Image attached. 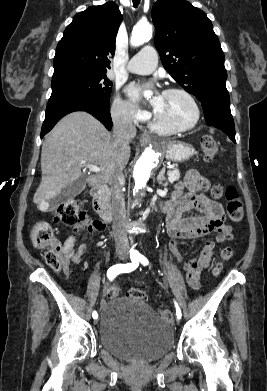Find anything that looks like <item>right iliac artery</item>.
Segmentation results:
<instances>
[{
	"label": "right iliac artery",
	"instance_id": "82829eb1",
	"mask_svg": "<svg viewBox=\"0 0 267 391\" xmlns=\"http://www.w3.org/2000/svg\"><path fill=\"white\" fill-rule=\"evenodd\" d=\"M132 263L128 264H116L112 267H110L107 271V277L109 280H113L118 274L120 273H127L135 270L138 266V258L137 257H131ZM93 318L96 319L98 317V314L96 311L92 314Z\"/></svg>",
	"mask_w": 267,
	"mask_h": 391
}]
</instances>
